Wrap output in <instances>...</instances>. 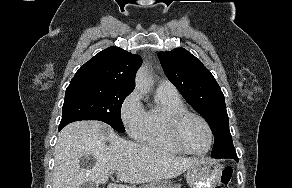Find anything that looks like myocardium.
I'll list each match as a JSON object with an SVG mask.
<instances>
[{
    "label": "myocardium",
    "mask_w": 292,
    "mask_h": 188,
    "mask_svg": "<svg viewBox=\"0 0 292 188\" xmlns=\"http://www.w3.org/2000/svg\"><path fill=\"white\" fill-rule=\"evenodd\" d=\"M190 117H194L200 120L204 124L207 130L209 143H208L207 148L204 151H201V152L193 151L189 149L182 141L181 126L185 122V120H187ZM166 125H167L170 138L175 143V145L183 152L191 154V155L202 156L209 153V151L211 150L213 146V141H214L213 131L208 121L202 115L196 112L189 111V110H182V111L175 112L169 115L166 120Z\"/></svg>",
    "instance_id": "f54148a6"
}]
</instances>
